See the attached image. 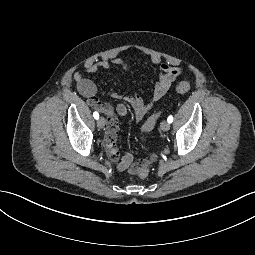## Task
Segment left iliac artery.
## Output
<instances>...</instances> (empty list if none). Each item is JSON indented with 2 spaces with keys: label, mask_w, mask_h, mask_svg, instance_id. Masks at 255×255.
<instances>
[{
  "label": "left iliac artery",
  "mask_w": 255,
  "mask_h": 255,
  "mask_svg": "<svg viewBox=\"0 0 255 255\" xmlns=\"http://www.w3.org/2000/svg\"><path fill=\"white\" fill-rule=\"evenodd\" d=\"M167 121H168L169 123H172L173 117L170 115V116L168 117Z\"/></svg>",
  "instance_id": "obj_1"
}]
</instances>
